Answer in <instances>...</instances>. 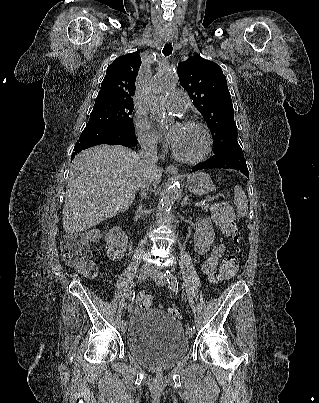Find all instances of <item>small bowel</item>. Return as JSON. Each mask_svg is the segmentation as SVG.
Returning <instances> with one entry per match:
<instances>
[{
	"mask_svg": "<svg viewBox=\"0 0 319 403\" xmlns=\"http://www.w3.org/2000/svg\"><path fill=\"white\" fill-rule=\"evenodd\" d=\"M225 251L226 248L224 244L215 245L201 265V271L206 275L208 281L211 283H216L217 279L224 278L221 272L217 275V269L219 261L223 257Z\"/></svg>",
	"mask_w": 319,
	"mask_h": 403,
	"instance_id": "small-bowel-1",
	"label": "small bowel"
}]
</instances>
